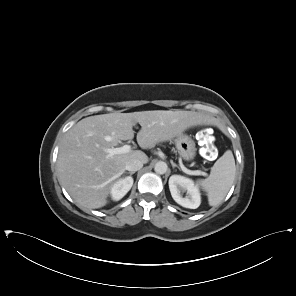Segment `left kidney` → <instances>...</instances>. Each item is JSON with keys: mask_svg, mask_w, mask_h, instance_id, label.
<instances>
[{"mask_svg": "<svg viewBox=\"0 0 296 296\" xmlns=\"http://www.w3.org/2000/svg\"><path fill=\"white\" fill-rule=\"evenodd\" d=\"M169 189L172 198L182 207L196 209L200 206L201 194L193 180L174 174L169 178ZM184 192H186L185 197L182 196Z\"/></svg>", "mask_w": 296, "mask_h": 296, "instance_id": "1", "label": "left kidney"}]
</instances>
